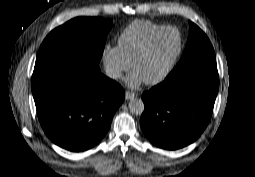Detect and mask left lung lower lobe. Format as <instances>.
<instances>
[{
    "instance_id": "obj_1",
    "label": "left lung lower lobe",
    "mask_w": 255,
    "mask_h": 177,
    "mask_svg": "<svg viewBox=\"0 0 255 177\" xmlns=\"http://www.w3.org/2000/svg\"><path fill=\"white\" fill-rule=\"evenodd\" d=\"M219 88L216 65L183 71L142 95V131L156 146L175 150L195 141L207 126Z\"/></svg>"
}]
</instances>
